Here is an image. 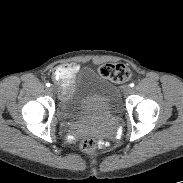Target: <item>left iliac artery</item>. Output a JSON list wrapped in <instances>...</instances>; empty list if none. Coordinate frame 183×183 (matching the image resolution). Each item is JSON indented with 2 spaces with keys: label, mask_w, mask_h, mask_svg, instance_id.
<instances>
[{
  "label": "left iliac artery",
  "mask_w": 183,
  "mask_h": 183,
  "mask_svg": "<svg viewBox=\"0 0 183 183\" xmlns=\"http://www.w3.org/2000/svg\"><path fill=\"white\" fill-rule=\"evenodd\" d=\"M134 86H135V84H134V83H131V84H130V87H134Z\"/></svg>",
  "instance_id": "left-iliac-artery-1"
}]
</instances>
